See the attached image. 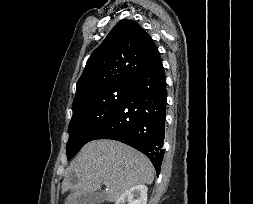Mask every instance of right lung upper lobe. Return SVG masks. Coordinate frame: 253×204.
<instances>
[{"label":"right lung upper lobe","instance_id":"obj_1","mask_svg":"<svg viewBox=\"0 0 253 204\" xmlns=\"http://www.w3.org/2000/svg\"><path fill=\"white\" fill-rule=\"evenodd\" d=\"M158 54L154 41L136 21H119L89 57L73 104L106 87L131 84Z\"/></svg>","mask_w":253,"mask_h":204}]
</instances>
